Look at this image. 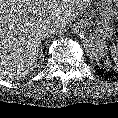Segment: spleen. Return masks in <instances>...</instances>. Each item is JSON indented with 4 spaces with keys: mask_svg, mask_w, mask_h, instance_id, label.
<instances>
[{
    "mask_svg": "<svg viewBox=\"0 0 118 118\" xmlns=\"http://www.w3.org/2000/svg\"><path fill=\"white\" fill-rule=\"evenodd\" d=\"M110 50H111L112 59L115 65L118 67V44L113 45Z\"/></svg>",
    "mask_w": 118,
    "mask_h": 118,
    "instance_id": "3e777b00",
    "label": "spleen"
}]
</instances>
